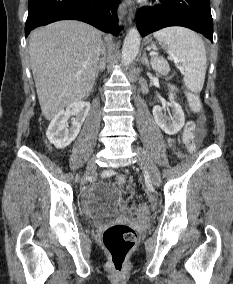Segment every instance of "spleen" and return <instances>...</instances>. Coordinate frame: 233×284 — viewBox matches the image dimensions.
I'll return each instance as SVG.
<instances>
[{
    "instance_id": "3e777b00",
    "label": "spleen",
    "mask_w": 233,
    "mask_h": 284,
    "mask_svg": "<svg viewBox=\"0 0 233 284\" xmlns=\"http://www.w3.org/2000/svg\"><path fill=\"white\" fill-rule=\"evenodd\" d=\"M160 44L166 46L184 68V84L194 93H200L205 80L207 58L199 35L184 27H168L154 33Z\"/></svg>"
}]
</instances>
